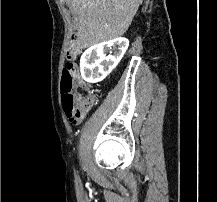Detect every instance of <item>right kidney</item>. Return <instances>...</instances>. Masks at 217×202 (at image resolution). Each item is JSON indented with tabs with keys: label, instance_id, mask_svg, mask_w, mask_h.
<instances>
[{
	"label": "right kidney",
	"instance_id": "obj_1",
	"mask_svg": "<svg viewBox=\"0 0 217 202\" xmlns=\"http://www.w3.org/2000/svg\"><path fill=\"white\" fill-rule=\"evenodd\" d=\"M128 46L127 38H115L110 42H102V44L88 48L80 60L82 78L86 82L104 80L122 60Z\"/></svg>",
	"mask_w": 217,
	"mask_h": 202
}]
</instances>
